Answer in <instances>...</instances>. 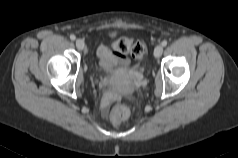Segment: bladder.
Masks as SVG:
<instances>
[{
    "label": "bladder",
    "instance_id": "bladder-1",
    "mask_svg": "<svg viewBox=\"0 0 238 158\" xmlns=\"http://www.w3.org/2000/svg\"><path fill=\"white\" fill-rule=\"evenodd\" d=\"M110 66H111V65H106V66H104V67H106V68H107V67H110Z\"/></svg>",
    "mask_w": 238,
    "mask_h": 158
}]
</instances>
